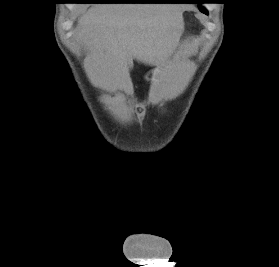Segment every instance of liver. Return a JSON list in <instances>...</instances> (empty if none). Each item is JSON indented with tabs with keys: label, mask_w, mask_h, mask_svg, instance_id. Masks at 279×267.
Returning a JSON list of instances; mask_svg holds the SVG:
<instances>
[{
	"label": "liver",
	"mask_w": 279,
	"mask_h": 267,
	"mask_svg": "<svg viewBox=\"0 0 279 267\" xmlns=\"http://www.w3.org/2000/svg\"><path fill=\"white\" fill-rule=\"evenodd\" d=\"M182 9L167 4L96 5L79 20L77 38L91 53V67L107 90L122 87L133 59L154 65L174 52Z\"/></svg>",
	"instance_id": "1"
}]
</instances>
